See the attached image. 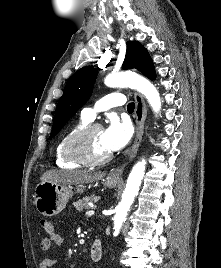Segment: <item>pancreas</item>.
Returning <instances> with one entry per match:
<instances>
[{"mask_svg":"<svg viewBox=\"0 0 221 268\" xmlns=\"http://www.w3.org/2000/svg\"><path fill=\"white\" fill-rule=\"evenodd\" d=\"M98 200V197H95L94 195L84 197L74 203V206L78 211H81L83 209L89 208V202H96Z\"/></svg>","mask_w":221,"mask_h":268,"instance_id":"cf45deb5","label":"pancreas"}]
</instances>
